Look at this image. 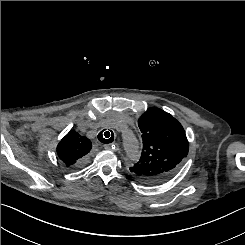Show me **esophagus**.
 <instances>
[{
	"label": "esophagus",
	"mask_w": 245,
	"mask_h": 245,
	"mask_svg": "<svg viewBox=\"0 0 245 245\" xmlns=\"http://www.w3.org/2000/svg\"><path fill=\"white\" fill-rule=\"evenodd\" d=\"M104 149L106 150H111L113 148V145L112 144H104Z\"/></svg>",
	"instance_id": "1"
}]
</instances>
